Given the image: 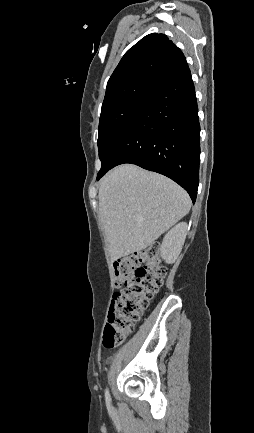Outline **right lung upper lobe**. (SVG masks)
Instances as JSON below:
<instances>
[{
	"label": "right lung upper lobe",
	"mask_w": 254,
	"mask_h": 433,
	"mask_svg": "<svg viewBox=\"0 0 254 433\" xmlns=\"http://www.w3.org/2000/svg\"><path fill=\"white\" fill-rule=\"evenodd\" d=\"M188 68L182 51L164 34H149L122 57L106 87L102 108L127 99H149Z\"/></svg>",
	"instance_id": "obj_1"
}]
</instances>
